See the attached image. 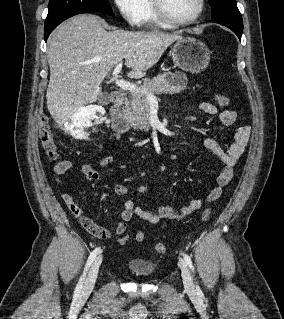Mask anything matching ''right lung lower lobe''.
I'll return each mask as SVG.
<instances>
[{"mask_svg": "<svg viewBox=\"0 0 284 319\" xmlns=\"http://www.w3.org/2000/svg\"><path fill=\"white\" fill-rule=\"evenodd\" d=\"M100 12L105 13V14H108V15H114L113 12H112V13L103 12V11H100ZM72 16H74V15H72ZM69 17H71V16L64 17V18H62V19L56 21L55 23H53V24H51V25H49V26H45V27H44V39H45V41H47V38H48L49 34H50L61 22H63L64 20H66V19L69 18Z\"/></svg>", "mask_w": 284, "mask_h": 319, "instance_id": "obj_1", "label": "right lung lower lobe"}]
</instances>
